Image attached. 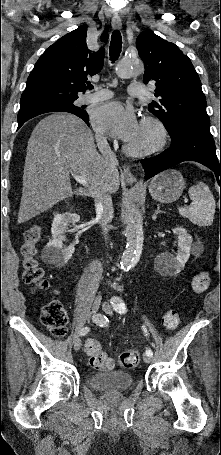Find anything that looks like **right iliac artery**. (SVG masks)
<instances>
[{"instance_id": "82829eb1", "label": "right iliac artery", "mask_w": 221, "mask_h": 455, "mask_svg": "<svg viewBox=\"0 0 221 455\" xmlns=\"http://www.w3.org/2000/svg\"><path fill=\"white\" fill-rule=\"evenodd\" d=\"M92 319H93V322H95L96 324H99L100 326H103L104 328H106L108 326L106 324L107 318L105 316L101 315V314L93 315ZM88 332H89V328L88 327H84L80 331V336H84Z\"/></svg>"}]
</instances>
